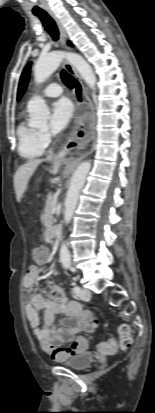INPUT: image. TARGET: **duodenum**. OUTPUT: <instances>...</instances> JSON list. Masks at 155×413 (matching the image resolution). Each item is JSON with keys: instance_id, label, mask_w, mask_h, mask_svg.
Segmentation results:
<instances>
[{"instance_id": "410a0bca", "label": "duodenum", "mask_w": 155, "mask_h": 413, "mask_svg": "<svg viewBox=\"0 0 155 413\" xmlns=\"http://www.w3.org/2000/svg\"><path fill=\"white\" fill-rule=\"evenodd\" d=\"M53 242L58 244L60 242V230H56L53 233Z\"/></svg>"}]
</instances>
